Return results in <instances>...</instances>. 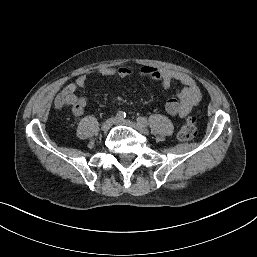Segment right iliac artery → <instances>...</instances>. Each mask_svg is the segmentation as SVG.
Segmentation results:
<instances>
[{
    "label": "right iliac artery",
    "mask_w": 257,
    "mask_h": 257,
    "mask_svg": "<svg viewBox=\"0 0 257 257\" xmlns=\"http://www.w3.org/2000/svg\"><path fill=\"white\" fill-rule=\"evenodd\" d=\"M118 119H124L126 117V113L123 111H119L116 115Z\"/></svg>",
    "instance_id": "1"
}]
</instances>
